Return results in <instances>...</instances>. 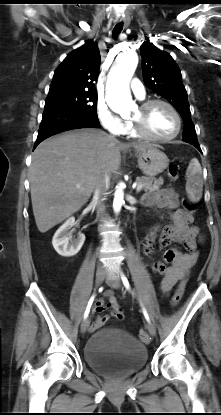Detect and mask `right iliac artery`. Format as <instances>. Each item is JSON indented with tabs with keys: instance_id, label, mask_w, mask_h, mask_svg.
Returning a JSON list of instances; mask_svg holds the SVG:
<instances>
[{
	"instance_id": "1",
	"label": "right iliac artery",
	"mask_w": 221,
	"mask_h": 415,
	"mask_svg": "<svg viewBox=\"0 0 221 415\" xmlns=\"http://www.w3.org/2000/svg\"><path fill=\"white\" fill-rule=\"evenodd\" d=\"M95 296H96V295H92V296H91V298H90V299H89V301H88V304H87L86 310H85V312H84V319H86V318L88 317V315H89V312H90L91 306H92L93 301H94V299H95Z\"/></svg>"
}]
</instances>
